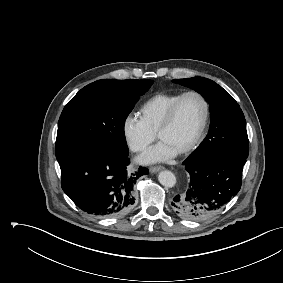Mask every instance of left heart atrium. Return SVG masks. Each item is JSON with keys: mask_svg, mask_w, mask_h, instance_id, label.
I'll list each match as a JSON object with an SVG mask.
<instances>
[{"mask_svg": "<svg viewBox=\"0 0 283 283\" xmlns=\"http://www.w3.org/2000/svg\"><path fill=\"white\" fill-rule=\"evenodd\" d=\"M179 152L164 141L147 150L139 157L141 163L165 162L174 158Z\"/></svg>", "mask_w": 283, "mask_h": 283, "instance_id": "obj_1", "label": "left heart atrium"}]
</instances>
